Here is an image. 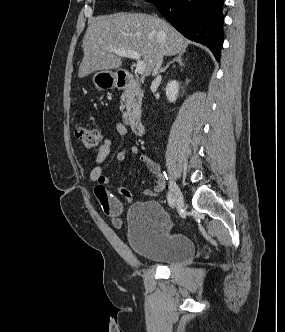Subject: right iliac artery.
Listing matches in <instances>:
<instances>
[{"mask_svg": "<svg viewBox=\"0 0 285 332\" xmlns=\"http://www.w3.org/2000/svg\"><path fill=\"white\" fill-rule=\"evenodd\" d=\"M168 204L171 208H174V198L170 192L167 193Z\"/></svg>", "mask_w": 285, "mask_h": 332, "instance_id": "1", "label": "right iliac artery"}]
</instances>
